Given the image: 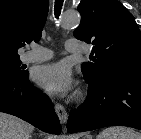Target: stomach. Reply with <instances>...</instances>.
Instances as JSON below:
<instances>
[{"instance_id": "obj_1", "label": "stomach", "mask_w": 141, "mask_h": 139, "mask_svg": "<svg viewBox=\"0 0 141 139\" xmlns=\"http://www.w3.org/2000/svg\"><path fill=\"white\" fill-rule=\"evenodd\" d=\"M83 139H92V137L90 135H86Z\"/></svg>"}]
</instances>
